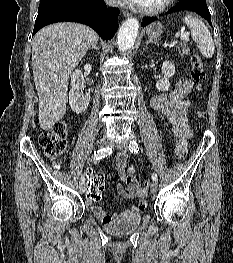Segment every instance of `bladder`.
<instances>
[{"label": "bladder", "mask_w": 233, "mask_h": 263, "mask_svg": "<svg viewBox=\"0 0 233 263\" xmlns=\"http://www.w3.org/2000/svg\"><path fill=\"white\" fill-rule=\"evenodd\" d=\"M142 220L139 211L126 210L120 213L114 220L104 223L103 230L113 236H124L135 230Z\"/></svg>", "instance_id": "obj_1"}]
</instances>
